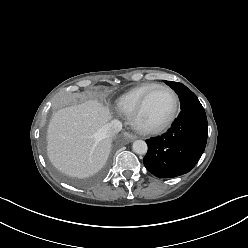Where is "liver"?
I'll return each mask as SVG.
<instances>
[{"instance_id": "1", "label": "liver", "mask_w": 248, "mask_h": 248, "mask_svg": "<svg viewBox=\"0 0 248 248\" xmlns=\"http://www.w3.org/2000/svg\"><path fill=\"white\" fill-rule=\"evenodd\" d=\"M110 118L109 110L93 100L57 111L47 130L52 164L71 177L87 178L97 173L111 150V137L104 131Z\"/></svg>"}]
</instances>
